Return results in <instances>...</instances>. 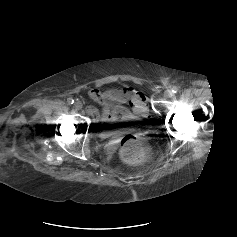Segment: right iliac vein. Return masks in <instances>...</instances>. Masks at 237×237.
Masks as SVG:
<instances>
[{
    "label": "right iliac vein",
    "mask_w": 237,
    "mask_h": 237,
    "mask_svg": "<svg viewBox=\"0 0 237 237\" xmlns=\"http://www.w3.org/2000/svg\"><path fill=\"white\" fill-rule=\"evenodd\" d=\"M74 107H75L77 110H80V109H82L83 104H82L81 101H76L75 104H74Z\"/></svg>",
    "instance_id": "63e3f726"
}]
</instances>
